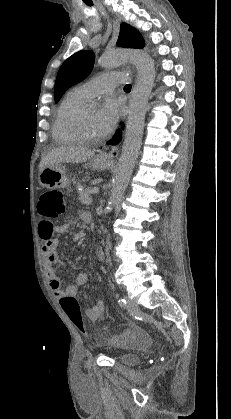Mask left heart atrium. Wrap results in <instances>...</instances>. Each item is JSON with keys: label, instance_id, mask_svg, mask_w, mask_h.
<instances>
[{"label": "left heart atrium", "instance_id": "39dd6f15", "mask_svg": "<svg viewBox=\"0 0 231 419\" xmlns=\"http://www.w3.org/2000/svg\"><path fill=\"white\" fill-rule=\"evenodd\" d=\"M120 115V105L118 101L108 98L98 113V120L103 134L109 133L116 125Z\"/></svg>", "mask_w": 231, "mask_h": 419}]
</instances>
